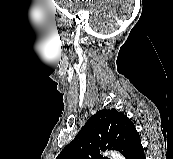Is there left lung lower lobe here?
<instances>
[{
	"label": "left lung lower lobe",
	"mask_w": 173,
	"mask_h": 159,
	"mask_svg": "<svg viewBox=\"0 0 173 159\" xmlns=\"http://www.w3.org/2000/svg\"><path fill=\"white\" fill-rule=\"evenodd\" d=\"M126 159H146L141 142L134 147Z\"/></svg>",
	"instance_id": "1"
}]
</instances>
